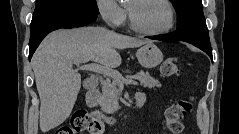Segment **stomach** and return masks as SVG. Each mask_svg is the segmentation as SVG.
Wrapping results in <instances>:
<instances>
[{"label": "stomach", "instance_id": "1", "mask_svg": "<svg viewBox=\"0 0 239 134\" xmlns=\"http://www.w3.org/2000/svg\"><path fill=\"white\" fill-rule=\"evenodd\" d=\"M136 56L141 66L147 69L155 68L163 60L161 50L152 42L144 44L139 48Z\"/></svg>", "mask_w": 239, "mask_h": 134}]
</instances>
